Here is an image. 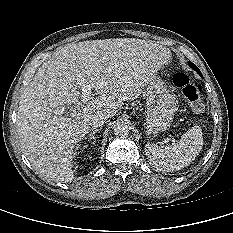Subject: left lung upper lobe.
<instances>
[{"label": "left lung upper lobe", "instance_id": "obj_1", "mask_svg": "<svg viewBox=\"0 0 233 233\" xmlns=\"http://www.w3.org/2000/svg\"><path fill=\"white\" fill-rule=\"evenodd\" d=\"M189 65H190L191 68L194 69L200 76H202V74H201L199 68H198L195 64L189 63Z\"/></svg>", "mask_w": 233, "mask_h": 233}]
</instances>
